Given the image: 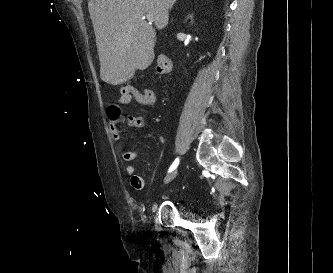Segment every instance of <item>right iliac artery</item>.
Listing matches in <instances>:
<instances>
[{
    "label": "right iliac artery",
    "instance_id": "82829eb1",
    "mask_svg": "<svg viewBox=\"0 0 333 273\" xmlns=\"http://www.w3.org/2000/svg\"><path fill=\"white\" fill-rule=\"evenodd\" d=\"M178 164H179V158H176L175 161L170 166L168 172H172L173 170H175L177 168Z\"/></svg>",
    "mask_w": 333,
    "mask_h": 273
}]
</instances>
